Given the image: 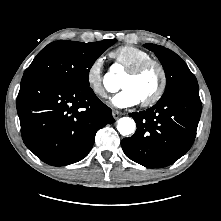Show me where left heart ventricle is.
Instances as JSON below:
<instances>
[{"label":"left heart ventricle","mask_w":221,"mask_h":221,"mask_svg":"<svg viewBox=\"0 0 221 221\" xmlns=\"http://www.w3.org/2000/svg\"><path fill=\"white\" fill-rule=\"evenodd\" d=\"M159 79L158 69L155 66H150L136 76L124 74L120 79V87L132 89L142 101L155 92Z\"/></svg>","instance_id":"left-heart-ventricle-1"}]
</instances>
